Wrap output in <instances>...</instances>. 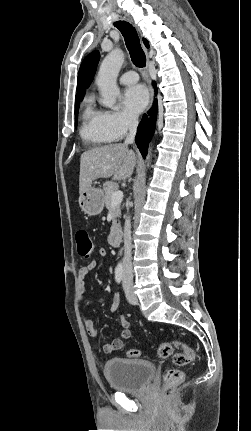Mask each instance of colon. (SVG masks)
Returning a JSON list of instances; mask_svg holds the SVG:
<instances>
[{"label":"colon","instance_id":"colon-1","mask_svg":"<svg viewBox=\"0 0 251 431\" xmlns=\"http://www.w3.org/2000/svg\"><path fill=\"white\" fill-rule=\"evenodd\" d=\"M75 237L79 255L83 258H89L93 253L94 245L88 231L85 229H78ZM175 349H180V352L173 355V365L168 366L163 375L165 397H169L174 388L182 383L184 373L180 367L188 365L195 358L194 350L187 343L179 340L162 343L159 345L157 352L160 357L167 358L173 354ZM139 354L140 351L137 349H129L126 351V356L129 358L138 357Z\"/></svg>","mask_w":251,"mask_h":431}]
</instances>
